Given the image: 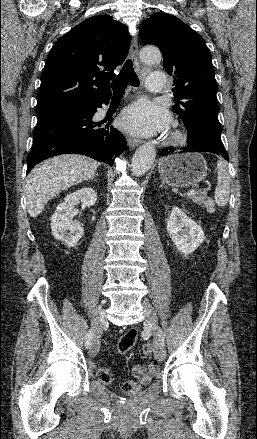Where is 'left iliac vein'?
Instances as JSON below:
<instances>
[{
	"instance_id": "4c4485c4",
	"label": "left iliac vein",
	"mask_w": 257,
	"mask_h": 439,
	"mask_svg": "<svg viewBox=\"0 0 257 439\" xmlns=\"http://www.w3.org/2000/svg\"><path fill=\"white\" fill-rule=\"evenodd\" d=\"M143 311L145 314V323L152 328V330L156 333L157 331V316L154 308L148 303L143 302ZM156 348H157V358L159 360H164L166 357V349L163 342L159 337L156 338Z\"/></svg>"
}]
</instances>
